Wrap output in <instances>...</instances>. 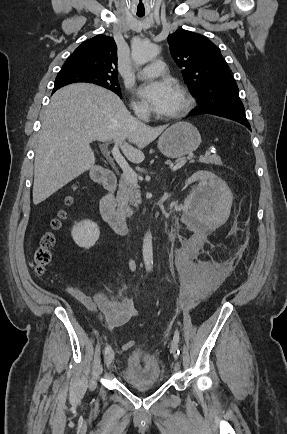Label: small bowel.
<instances>
[{"label": "small bowel", "mask_w": 287, "mask_h": 434, "mask_svg": "<svg viewBox=\"0 0 287 434\" xmlns=\"http://www.w3.org/2000/svg\"><path fill=\"white\" fill-rule=\"evenodd\" d=\"M67 292L89 312L98 315L110 328L123 326L136 315L132 299L113 293L108 287L93 297L85 294L78 286H70ZM98 310L103 316L98 314Z\"/></svg>", "instance_id": "small-bowel-1"}]
</instances>
